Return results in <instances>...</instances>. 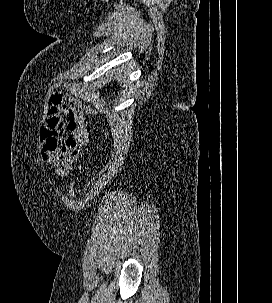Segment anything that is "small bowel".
Here are the masks:
<instances>
[{"instance_id":"c3829d8e","label":"small bowel","mask_w":272,"mask_h":303,"mask_svg":"<svg viewBox=\"0 0 272 303\" xmlns=\"http://www.w3.org/2000/svg\"><path fill=\"white\" fill-rule=\"evenodd\" d=\"M39 137L42 160L56 175L66 176L89 141L82 103L61 93L51 95Z\"/></svg>"}]
</instances>
